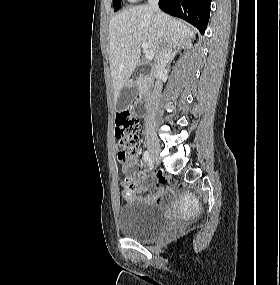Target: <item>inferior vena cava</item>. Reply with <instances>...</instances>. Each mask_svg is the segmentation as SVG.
<instances>
[{
	"mask_svg": "<svg viewBox=\"0 0 280 285\" xmlns=\"http://www.w3.org/2000/svg\"><path fill=\"white\" fill-rule=\"evenodd\" d=\"M150 7L153 9L157 23L162 27L159 33L160 35V46L158 53L155 58L154 71L156 79H160L164 73L166 65L170 62L172 50L168 47L166 42V32L163 28L162 16L159 9V0H148ZM161 84L157 80L153 89V93L149 102V113L146 119V124L152 126L155 120L156 112L161 95Z\"/></svg>",
	"mask_w": 280,
	"mask_h": 285,
	"instance_id": "inferior-vena-cava-1",
	"label": "inferior vena cava"
}]
</instances>
